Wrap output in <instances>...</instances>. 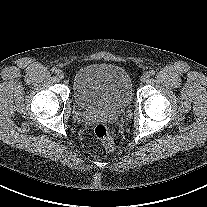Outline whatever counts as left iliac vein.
<instances>
[{"label": "left iliac vein", "instance_id": "1", "mask_svg": "<svg viewBox=\"0 0 207 207\" xmlns=\"http://www.w3.org/2000/svg\"><path fill=\"white\" fill-rule=\"evenodd\" d=\"M149 78V75L147 73H144L142 76H141V81L142 82H146Z\"/></svg>", "mask_w": 207, "mask_h": 207}]
</instances>
